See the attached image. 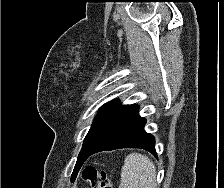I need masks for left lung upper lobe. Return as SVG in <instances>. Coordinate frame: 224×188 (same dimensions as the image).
Wrapping results in <instances>:
<instances>
[{"label":"left lung upper lobe","mask_w":224,"mask_h":188,"mask_svg":"<svg viewBox=\"0 0 224 188\" xmlns=\"http://www.w3.org/2000/svg\"><path fill=\"white\" fill-rule=\"evenodd\" d=\"M130 106L131 105H120L118 100H113L103 105L99 109V112L84 139L83 147L78 158L84 157L85 154L93 150L102 140L105 134L114 126L118 118ZM82 164L77 166L74 170H78Z\"/></svg>","instance_id":"5c2ea615"}]
</instances>
